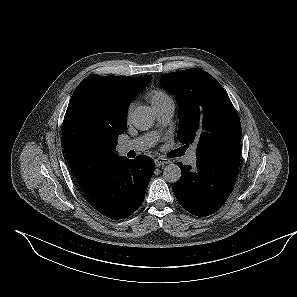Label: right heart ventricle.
I'll return each mask as SVG.
<instances>
[{
    "mask_svg": "<svg viewBox=\"0 0 297 297\" xmlns=\"http://www.w3.org/2000/svg\"><path fill=\"white\" fill-rule=\"evenodd\" d=\"M167 98H169V96L162 91H154L150 94V100L152 105L158 104Z\"/></svg>",
    "mask_w": 297,
    "mask_h": 297,
    "instance_id": "e07e8e85",
    "label": "right heart ventricle"
}]
</instances>
